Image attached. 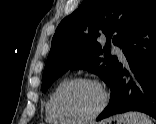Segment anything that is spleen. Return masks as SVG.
<instances>
[{"mask_svg":"<svg viewBox=\"0 0 156 124\" xmlns=\"http://www.w3.org/2000/svg\"><path fill=\"white\" fill-rule=\"evenodd\" d=\"M127 124H153L152 120L146 115L138 112H127L124 114Z\"/></svg>","mask_w":156,"mask_h":124,"instance_id":"obj_1","label":"spleen"}]
</instances>
